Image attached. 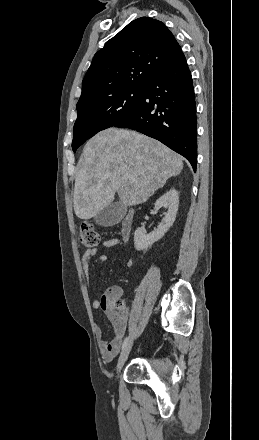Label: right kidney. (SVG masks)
Masks as SVG:
<instances>
[{
    "instance_id": "right-kidney-1",
    "label": "right kidney",
    "mask_w": 259,
    "mask_h": 440,
    "mask_svg": "<svg viewBox=\"0 0 259 440\" xmlns=\"http://www.w3.org/2000/svg\"><path fill=\"white\" fill-rule=\"evenodd\" d=\"M178 206L179 194L175 189H170L156 201L154 209L157 211L164 207L167 209V212L155 231L145 234L142 228L136 229L134 233V246L137 251L147 250L153 243L165 235L176 219Z\"/></svg>"
}]
</instances>
